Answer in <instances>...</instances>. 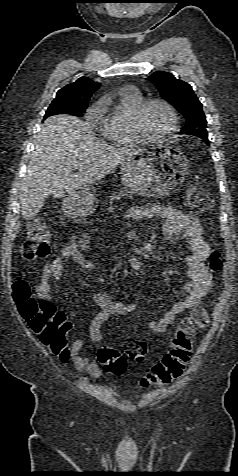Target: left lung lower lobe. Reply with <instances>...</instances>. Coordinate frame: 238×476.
<instances>
[{
	"label": "left lung lower lobe",
	"instance_id": "obj_1",
	"mask_svg": "<svg viewBox=\"0 0 238 476\" xmlns=\"http://www.w3.org/2000/svg\"><path fill=\"white\" fill-rule=\"evenodd\" d=\"M206 143H209V140H208V138H206Z\"/></svg>",
	"mask_w": 238,
	"mask_h": 476
}]
</instances>
